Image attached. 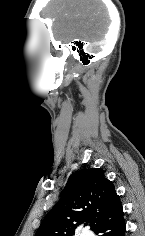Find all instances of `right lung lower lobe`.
I'll list each match as a JSON object with an SVG mask.
<instances>
[{
	"label": "right lung lower lobe",
	"mask_w": 145,
	"mask_h": 236,
	"mask_svg": "<svg viewBox=\"0 0 145 236\" xmlns=\"http://www.w3.org/2000/svg\"><path fill=\"white\" fill-rule=\"evenodd\" d=\"M99 236H125L126 228L121 207L112 217L94 230Z\"/></svg>",
	"instance_id": "obj_1"
}]
</instances>
